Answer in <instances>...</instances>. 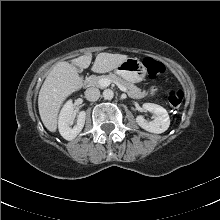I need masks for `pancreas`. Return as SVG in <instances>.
<instances>
[{
    "label": "pancreas",
    "mask_w": 220,
    "mask_h": 220,
    "mask_svg": "<svg viewBox=\"0 0 220 220\" xmlns=\"http://www.w3.org/2000/svg\"><path fill=\"white\" fill-rule=\"evenodd\" d=\"M102 78H108L114 83H119L123 85L127 89V93L130 97L141 99L147 96V92L141 91L140 88L132 84L131 82L123 80L121 77L117 76L116 74L110 73L108 75H102V76H91L87 79V83L90 86H97L100 87L98 81Z\"/></svg>",
    "instance_id": "1"
}]
</instances>
